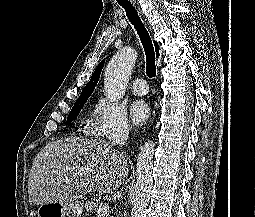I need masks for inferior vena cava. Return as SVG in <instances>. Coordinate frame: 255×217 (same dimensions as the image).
Here are the masks:
<instances>
[{
    "instance_id": "inferior-vena-cava-1",
    "label": "inferior vena cava",
    "mask_w": 255,
    "mask_h": 217,
    "mask_svg": "<svg viewBox=\"0 0 255 217\" xmlns=\"http://www.w3.org/2000/svg\"><path fill=\"white\" fill-rule=\"evenodd\" d=\"M129 137V130L127 127H122L111 137L112 145H123Z\"/></svg>"
}]
</instances>
